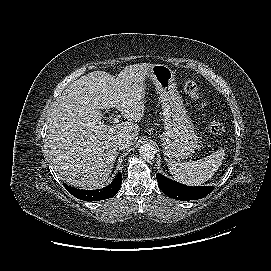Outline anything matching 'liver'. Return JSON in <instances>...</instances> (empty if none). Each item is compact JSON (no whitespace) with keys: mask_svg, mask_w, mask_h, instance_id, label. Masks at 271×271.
Instances as JSON below:
<instances>
[{"mask_svg":"<svg viewBox=\"0 0 271 271\" xmlns=\"http://www.w3.org/2000/svg\"><path fill=\"white\" fill-rule=\"evenodd\" d=\"M154 64L126 66L116 78L104 71L88 73L67 86L49 116L47 147L55 171L75 187H102L118 156L116 137L135 143L145 111V80ZM118 109L128 121L97 130L101 109Z\"/></svg>","mask_w":271,"mask_h":271,"instance_id":"obj_1","label":"liver"}]
</instances>
